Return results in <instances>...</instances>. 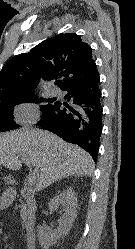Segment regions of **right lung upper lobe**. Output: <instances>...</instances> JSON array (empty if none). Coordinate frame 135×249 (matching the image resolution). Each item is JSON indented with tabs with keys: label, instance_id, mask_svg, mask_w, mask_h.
Instances as JSON below:
<instances>
[{
	"label": "right lung upper lobe",
	"instance_id": "right-lung-upper-lobe-1",
	"mask_svg": "<svg viewBox=\"0 0 135 249\" xmlns=\"http://www.w3.org/2000/svg\"><path fill=\"white\" fill-rule=\"evenodd\" d=\"M98 74L91 47L75 33L58 34L44 40L28 53L17 55L0 71V100L31 94L40 79L62 78L65 90L74 83ZM58 84V83H56Z\"/></svg>",
	"mask_w": 135,
	"mask_h": 249
}]
</instances>
